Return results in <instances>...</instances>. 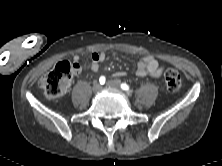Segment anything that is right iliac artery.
I'll list each match as a JSON object with an SVG mask.
<instances>
[{
  "instance_id": "82829eb1",
  "label": "right iliac artery",
  "mask_w": 222,
  "mask_h": 166,
  "mask_svg": "<svg viewBox=\"0 0 222 166\" xmlns=\"http://www.w3.org/2000/svg\"><path fill=\"white\" fill-rule=\"evenodd\" d=\"M105 81H106V78H105L104 76H101V77L99 78L100 84H104Z\"/></svg>"
}]
</instances>
